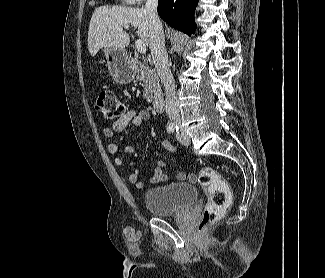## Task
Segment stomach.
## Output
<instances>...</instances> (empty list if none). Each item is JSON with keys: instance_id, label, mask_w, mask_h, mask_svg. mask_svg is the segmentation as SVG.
Segmentation results:
<instances>
[{"instance_id": "1", "label": "stomach", "mask_w": 325, "mask_h": 278, "mask_svg": "<svg viewBox=\"0 0 325 278\" xmlns=\"http://www.w3.org/2000/svg\"><path fill=\"white\" fill-rule=\"evenodd\" d=\"M103 51L113 79L119 84L130 83L135 77V71L127 58L125 50L105 47Z\"/></svg>"}]
</instances>
